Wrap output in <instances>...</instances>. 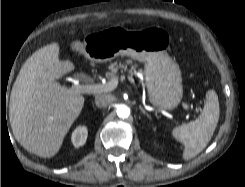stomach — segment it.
I'll return each instance as SVG.
<instances>
[{
  "label": "stomach",
  "mask_w": 245,
  "mask_h": 187,
  "mask_svg": "<svg viewBox=\"0 0 245 187\" xmlns=\"http://www.w3.org/2000/svg\"><path fill=\"white\" fill-rule=\"evenodd\" d=\"M169 34L158 27L128 30L112 27L75 41L73 49L93 62L103 63L118 56H129L145 63V81L150 102L157 108L172 110L183 96L181 71L167 54Z\"/></svg>",
  "instance_id": "0dacf381"
}]
</instances>
